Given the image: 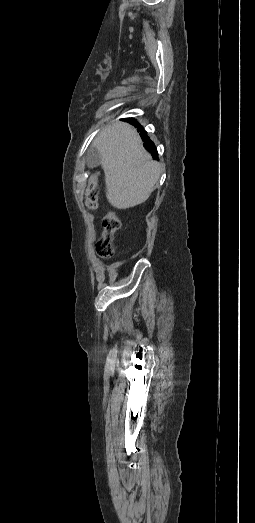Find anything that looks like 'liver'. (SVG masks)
<instances>
[{
	"label": "liver",
	"mask_w": 255,
	"mask_h": 523,
	"mask_svg": "<svg viewBox=\"0 0 255 523\" xmlns=\"http://www.w3.org/2000/svg\"><path fill=\"white\" fill-rule=\"evenodd\" d=\"M93 146L100 152L106 198L111 206L126 210L148 200L161 176L162 166L143 148L133 126L125 122L111 124L96 136Z\"/></svg>",
	"instance_id": "liver-1"
}]
</instances>
